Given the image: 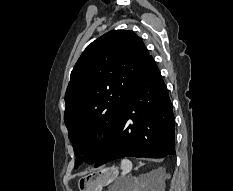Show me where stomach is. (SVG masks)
Here are the masks:
<instances>
[{"label":"stomach","mask_w":233,"mask_h":191,"mask_svg":"<svg viewBox=\"0 0 233 191\" xmlns=\"http://www.w3.org/2000/svg\"><path fill=\"white\" fill-rule=\"evenodd\" d=\"M117 176L118 170L115 167L91 172L79 180V191H101V188L111 184Z\"/></svg>","instance_id":"obj_1"}]
</instances>
